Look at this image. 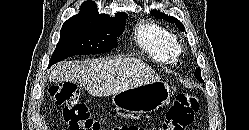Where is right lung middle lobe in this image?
Masks as SVG:
<instances>
[{"mask_svg": "<svg viewBox=\"0 0 249 130\" xmlns=\"http://www.w3.org/2000/svg\"><path fill=\"white\" fill-rule=\"evenodd\" d=\"M126 18L125 13L108 17L97 10L71 17L62 26L49 66L74 55L99 54L116 48Z\"/></svg>", "mask_w": 249, "mask_h": 130, "instance_id": "obj_1", "label": "right lung middle lobe"}]
</instances>
